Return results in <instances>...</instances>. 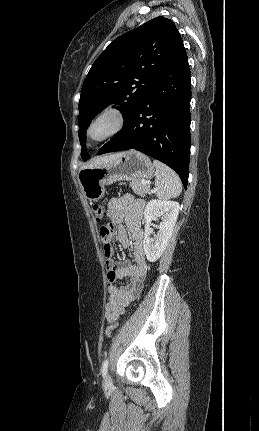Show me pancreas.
Masks as SVG:
<instances>
[{
	"mask_svg": "<svg viewBox=\"0 0 259 431\" xmlns=\"http://www.w3.org/2000/svg\"><path fill=\"white\" fill-rule=\"evenodd\" d=\"M129 185L134 193L141 197H145V195L148 194L150 190L149 184H143L142 180H133Z\"/></svg>",
	"mask_w": 259,
	"mask_h": 431,
	"instance_id": "cf45deb5",
	"label": "pancreas"
}]
</instances>
